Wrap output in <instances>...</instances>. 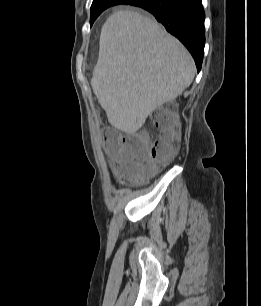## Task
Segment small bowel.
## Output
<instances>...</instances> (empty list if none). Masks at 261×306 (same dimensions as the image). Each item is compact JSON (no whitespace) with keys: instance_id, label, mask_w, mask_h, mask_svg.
I'll use <instances>...</instances> for the list:
<instances>
[{"instance_id":"obj_1","label":"small bowel","mask_w":261,"mask_h":306,"mask_svg":"<svg viewBox=\"0 0 261 306\" xmlns=\"http://www.w3.org/2000/svg\"><path fill=\"white\" fill-rule=\"evenodd\" d=\"M114 168L118 173L119 168L123 166H130L136 170H139L143 167V165L137 161L128 160L126 157L121 156L113 161Z\"/></svg>"}]
</instances>
